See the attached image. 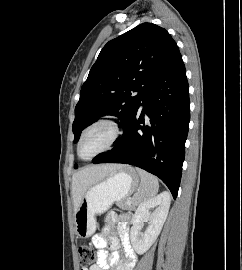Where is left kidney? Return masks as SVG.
Masks as SVG:
<instances>
[{
    "mask_svg": "<svg viewBox=\"0 0 242 270\" xmlns=\"http://www.w3.org/2000/svg\"><path fill=\"white\" fill-rule=\"evenodd\" d=\"M171 197L167 191L141 203L133 217L130 231L131 243L138 254L145 253L155 242L166 221ZM155 208L153 212L150 209ZM143 222H148V228L141 232Z\"/></svg>",
    "mask_w": 242,
    "mask_h": 270,
    "instance_id": "left-kidney-1",
    "label": "left kidney"
}]
</instances>
